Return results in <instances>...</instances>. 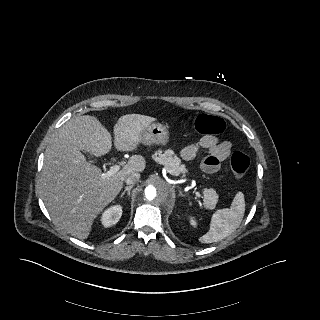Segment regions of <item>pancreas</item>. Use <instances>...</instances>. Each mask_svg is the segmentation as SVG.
Returning <instances> with one entry per match:
<instances>
[{
	"label": "pancreas",
	"instance_id": "cf45deb5",
	"mask_svg": "<svg viewBox=\"0 0 320 320\" xmlns=\"http://www.w3.org/2000/svg\"><path fill=\"white\" fill-rule=\"evenodd\" d=\"M154 160L162 164L167 171L172 175H182L186 177L187 169L184 164H181V159L175 153L168 149L162 153L161 150L156 152L153 156ZM204 206L206 209H214L218 202V194L212 188L205 189L204 192Z\"/></svg>",
	"mask_w": 320,
	"mask_h": 320
}]
</instances>
